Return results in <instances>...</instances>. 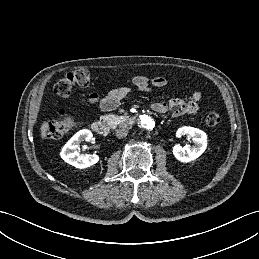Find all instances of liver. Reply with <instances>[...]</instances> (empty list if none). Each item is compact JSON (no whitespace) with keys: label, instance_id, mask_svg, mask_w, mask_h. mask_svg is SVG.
Instances as JSON below:
<instances>
[{"label":"liver","instance_id":"1","mask_svg":"<svg viewBox=\"0 0 259 259\" xmlns=\"http://www.w3.org/2000/svg\"><path fill=\"white\" fill-rule=\"evenodd\" d=\"M48 129H49V123L48 121H44L40 127V131H41V138L44 140L47 138V134H48Z\"/></svg>","mask_w":259,"mask_h":259}]
</instances>
